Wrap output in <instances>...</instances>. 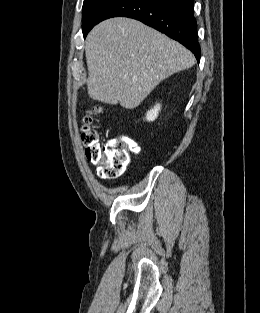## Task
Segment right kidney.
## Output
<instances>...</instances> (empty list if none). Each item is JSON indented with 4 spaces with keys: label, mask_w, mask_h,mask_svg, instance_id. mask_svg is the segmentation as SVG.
I'll return each instance as SVG.
<instances>
[{
    "label": "right kidney",
    "mask_w": 260,
    "mask_h": 313,
    "mask_svg": "<svg viewBox=\"0 0 260 313\" xmlns=\"http://www.w3.org/2000/svg\"><path fill=\"white\" fill-rule=\"evenodd\" d=\"M160 109H161L160 104H156L152 109H150L146 114L147 121L149 122L154 121L157 118Z\"/></svg>",
    "instance_id": "1"
}]
</instances>
